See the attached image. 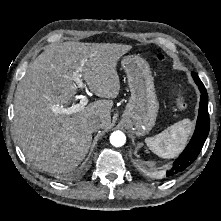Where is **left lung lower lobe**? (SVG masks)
Wrapping results in <instances>:
<instances>
[{
  "instance_id": "1",
  "label": "left lung lower lobe",
  "mask_w": 221,
  "mask_h": 221,
  "mask_svg": "<svg viewBox=\"0 0 221 221\" xmlns=\"http://www.w3.org/2000/svg\"><path fill=\"white\" fill-rule=\"evenodd\" d=\"M194 80L201 93L196 129L185 150L173 162L172 167L166 172L167 177L181 173L195 161L209 133L210 119L208 115V95L201 80L199 78Z\"/></svg>"
}]
</instances>
